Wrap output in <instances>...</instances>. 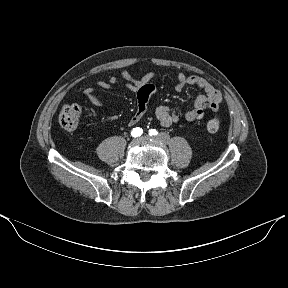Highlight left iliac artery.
<instances>
[{
	"mask_svg": "<svg viewBox=\"0 0 288 288\" xmlns=\"http://www.w3.org/2000/svg\"><path fill=\"white\" fill-rule=\"evenodd\" d=\"M157 132V130L156 129H150L149 130V135L150 136H155V133Z\"/></svg>",
	"mask_w": 288,
	"mask_h": 288,
	"instance_id": "left-iliac-artery-1",
	"label": "left iliac artery"
}]
</instances>
